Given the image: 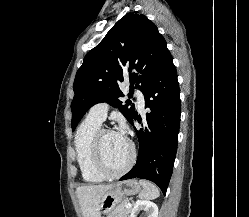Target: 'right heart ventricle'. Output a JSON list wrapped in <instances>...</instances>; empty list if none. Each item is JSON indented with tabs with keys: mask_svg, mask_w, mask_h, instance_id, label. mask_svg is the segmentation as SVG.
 <instances>
[{
	"mask_svg": "<svg viewBox=\"0 0 249 217\" xmlns=\"http://www.w3.org/2000/svg\"><path fill=\"white\" fill-rule=\"evenodd\" d=\"M101 124L102 122L87 115L75 134L74 146L77 163L83 180L88 183H100L106 179L96 169L93 159V139Z\"/></svg>",
	"mask_w": 249,
	"mask_h": 217,
	"instance_id": "1",
	"label": "right heart ventricle"
}]
</instances>
